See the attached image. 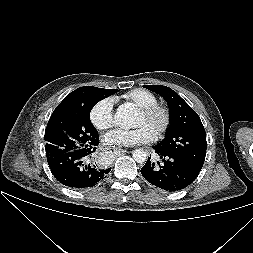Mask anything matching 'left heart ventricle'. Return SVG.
<instances>
[{
	"label": "left heart ventricle",
	"mask_w": 253,
	"mask_h": 253,
	"mask_svg": "<svg viewBox=\"0 0 253 253\" xmlns=\"http://www.w3.org/2000/svg\"><path fill=\"white\" fill-rule=\"evenodd\" d=\"M162 118L159 114L146 117L142 115L140 112L137 113L136 119H135V126L139 125H145L147 126L153 133L156 132V130L159 128L161 124Z\"/></svg>",
	"instance_id": "left-heart-ventricle-1"
}]
</instances>
